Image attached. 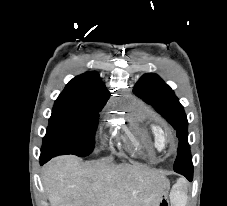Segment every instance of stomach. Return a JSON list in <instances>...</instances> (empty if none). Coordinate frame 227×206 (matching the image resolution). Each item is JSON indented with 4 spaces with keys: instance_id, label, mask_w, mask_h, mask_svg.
<instances>
[{
    "instance_id": "0dacf381",
    "label": "stomach",
    "mask_w": 227,
    "mask_h": 206,
    "mask_svg": "<svg viewBox=\"0 0 227 206\" xmlns=\"http://www.w3.org/2000/svg\"><path fill=\"white\" fill-rule=\"evenodd\" d=\"M162 197L160 198V203H159V206H168L169 204H168V202H166L167 201V192H162Z\"/></svg>"
}]
</instances>
